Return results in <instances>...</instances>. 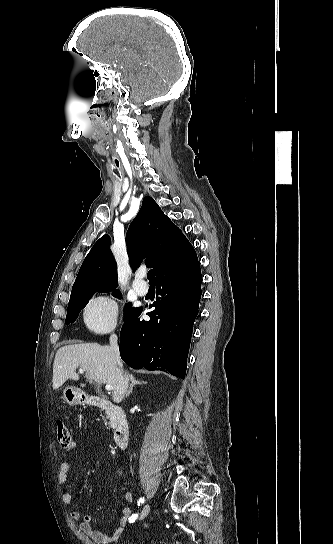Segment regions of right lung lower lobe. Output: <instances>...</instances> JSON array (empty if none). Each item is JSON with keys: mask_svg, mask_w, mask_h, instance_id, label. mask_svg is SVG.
Segmentation results:
<instances>
[{"mask_svg": "<svg viewBox=\"0 0 333 544\" xmlns=\"http://www.w3.org/2000/svg\"><path fill=\"white\" fill-rule=\"evenodd\" d=\"M156 293L148 322L137 318L142 308L125 320L120 355L134 369L160 370L184 379L201 297L200 263L158 278Z\"/></svg>", "mask_w": 333, "mask_h": 544, "instance_id": "1", "label": "right lung lower lobe"}]
</instances>
